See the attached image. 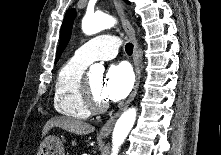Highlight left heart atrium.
<instances>
[{"instance_id": "obj_1", "label": "left heart atrium", "mask_w": 221, "mask_h": 155, "mask_svg": "<svg viewBox=\"0 0 221 155\" xmlns=\"http://www.w3.org/2000/svg\"><path fill=\"white\" fill-rule=\"evenodd\" d=\"M133 81V73L126 63L110 66L102 82V97L106 101H119L125 98L133 86Z\"/></svg>"}]
</instances>
